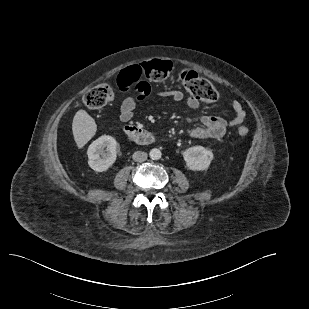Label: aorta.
Instances as JSON below:
<instances>
[{
  "label": "aorta",
  "mask_w": 309,
  "mask_h": 309,
  "mask_svg": "<svg viewBox=\"0 0 309 309\" xmlns=\"http://www.w3.org/2000/svg\"><path fill=\"white\" fill-rule=\"evenodd\" d=\"M149 156L152 160H158V159L161 158L162 153H161L160 149L154 148V149H151Z\"/></svg>",
  "instance_id": "obj_1"
}]
</instances>
